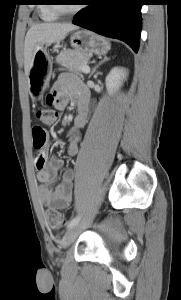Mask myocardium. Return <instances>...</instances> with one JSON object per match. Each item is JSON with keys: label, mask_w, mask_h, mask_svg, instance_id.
Listing matches in <instances>:
<instances>
[{"label": "myocardium", "mask_w": 181, "mask_h": 300, "mask_svg": "<svg viewBox=\"0 0 181 300\" xmlns=\"http://www.w3.org/2000/svg\"><path fill=\"white\" fill-rule=\"evenodd\" d=\"M52 10L58 16L70 15L78 11V8L66 9L62 4L58 3L57 0H50Z\"/></svg>", "instance_id": "f54148a6"}]
</instances>
